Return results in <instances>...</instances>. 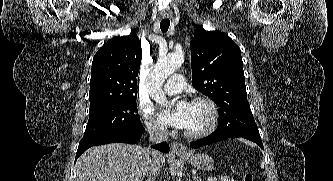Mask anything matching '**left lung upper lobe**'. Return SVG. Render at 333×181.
Instances as JSON below:
<instances>
[{
  "instance_id": "5c2ea615",
  "label": "left lung upper lobe",
  "mask_w": 333,
  "mask_h": 181,
  "mask_svg": "<svg viewBox=\"0 0 333 181\" xmlns=\"http://www.w3.org/2000/svg\"><path fill=\"white\" fill-rule=\"evenodd\" d=\"M193 87L219 107L218 119H232L235 134L261 138L247 100L241 51L222 32L198 27L191 41Z\"/></svg>"
}]
</instances>
